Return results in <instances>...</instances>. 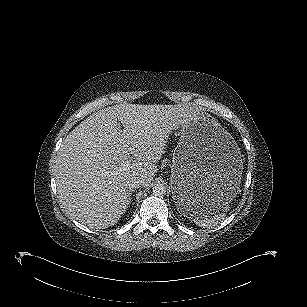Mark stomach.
Here are the masks:
<instances>
[{"instance_id": "obj_1", "label": "stomach", "mask_w": 307, "mask_h": 307, "mask_svg": "<svg viewBox=\"0 0 307 307\" xmlns=\"http://www.w3.org/2000/svg\"><path fill=\"white\" fill-rule=\"evenodd\" d=\"M243 161L237 143L213 118L194 110L182 124L170 184L181 214L213 213L237 195Z\"/></svg>"}]
</instances>
